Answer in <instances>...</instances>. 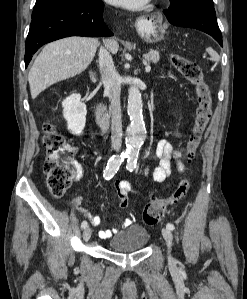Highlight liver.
I'll list each match as a JSON object with an SVG mask.
<instances>
[{"mask_svg": "<svg viewBox=\"0 0 247 299\" xmlns=\"http://www.w3.org/2000/svg\"><path fill=\"white\" fill-rule=\"evenodd\" d=\"M106 47L117 53L116 40L108 39ZM98 39L91 37H66L47 44L35 59L28 75L32 99L57 83L82 73L92 62Z\"/></svg>", "mask_w": 247, "mask_h": 299, "instance_id": "obj_1", "label": "liver"}]
</instances>
